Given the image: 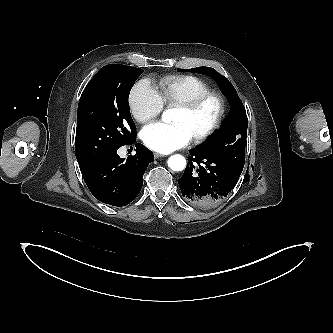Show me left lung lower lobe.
I'll return each mask as SVG.
<instances>
[{"mask_svg": "<svg viewBox=\"0 0 333 333\" xmlns=\"http://www.w3.org/2000/svg\"><path fill=\"white\" fill-rule=\"evenodd\" d=\"M190 154L191 161L178 180L182 195L191 204L214 207L232 191L241 172L199 148Z\"/></svg>", "mask_w": 333, "mask_h": 333, "instance_id": "1", "label": "left lung lower lobe"}]
</instances>
